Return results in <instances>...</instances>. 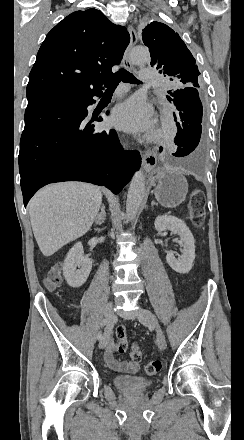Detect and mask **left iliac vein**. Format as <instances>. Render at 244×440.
<instances>
[{"mask_svg": "<svg viewBox=\"0 0 244 440\" xmlns=\"http://www.w3.org/2000/svg\"><path fill=\"white\" fill-rule=\"evenodd\" d=\"M137 319L143 325H149L153 327L157 333L156 335V343L160 350L166 349V340L162 328L160 327L156 316L147 309L141 308L139 312L136 314Z\"/></svg>", "mask_w": 244, "mask_h": 440, "instance_id": "4c4485c4", "label": "left iliac vein"}]
</instances>
